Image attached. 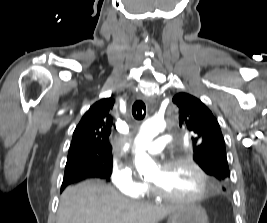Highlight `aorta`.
I'll return each mask as SVG.
<instances>
[{"label": "aorta", "instance_id": "762f6f07", "mask_svg": "<svg viewBox=\"0 0 267 223\" xmlns=\"http://www.w3.org/2000/svg\"><path fill=\"white\" fill-rule=\"evenodd\" d=\"M165 122L162 120H148L140 128L135 139V166L140 175H150L157 171L155 162L146 153L154 137L165 129Z\"/></svg>", "mask_w": 267, "mask_h": 223}]
</instances>
